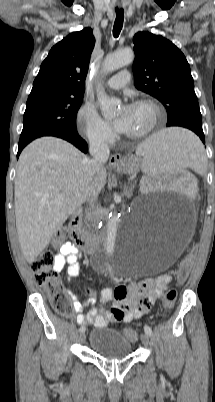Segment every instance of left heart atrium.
<instances>
[{
	"mask_svg": "<svg viewBox=\"0 0 215 402\" xmlns=\"http://www.w3.org/2000/svg\"><path fill=\"white\" fill-rule=\"evenodd\" d=\"M131 124V106L124 105L113 121V126L120 133H127Z\"/></svg>",
	"mask_w": 215,
	"mask_h": 402,
	"instance_id": "left-heart-atrium-1",
	"label": "left heart atrium"
}]
</instances>
